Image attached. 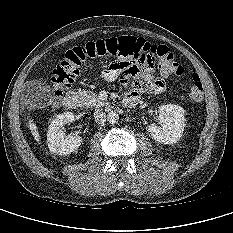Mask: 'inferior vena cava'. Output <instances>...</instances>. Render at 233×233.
Segmentation results:
<instances>
[{
	"instance_id": "obj_1",
	"label": "inferior vena cava",
	"mask_w": 233,
	"mask_h": 233,
	"mask_svg": "<svg viewBox=\"0 0 233 233\" xmlns=\"http://www.w3.org/2000/svg\"><path fill=\"white\" fill-rule=\"evenodd\" d=\"M94 119L96 123L103 124L106 121V114L101 109H97L94 112Z\"/></svg>"
}]
</instances>
